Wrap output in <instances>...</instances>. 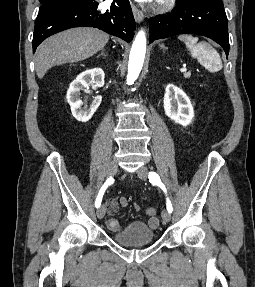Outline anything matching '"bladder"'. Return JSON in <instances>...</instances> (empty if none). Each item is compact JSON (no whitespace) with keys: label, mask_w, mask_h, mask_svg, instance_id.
<instances>
[{"label":"bladder","mask_w":255,"mask_h":287,"mask_svg":"<svg viewBox=\"0 0 255 287\" xmlns=\"http://www.w3.org/2000/svg\"><path fill=\"white\" fill-rule=\"evenodd\" d=\"M112 239L122 245H144L155 239V230L147 223L133 221L112 233Z\"/></svg>","instance_id":"1"}]
</instances>
